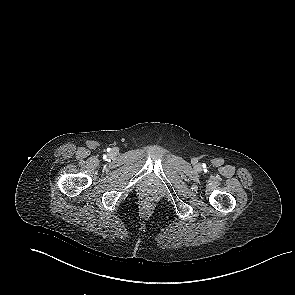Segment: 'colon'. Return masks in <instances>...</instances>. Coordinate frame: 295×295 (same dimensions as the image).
Listing matches in <instances>:
<instances>
[{"mask_svg": "<svg viewBox=\"0 0 295 295\" xmlns=\"http://www.w3.org/2000/svg\"><path fill=\"white\" fill-rule=\"evenodd\" d=\"M151 200L150 199H147V202H150Z\"/></svg>", "mask_w": 295, "mask_h": 295, "instance_id": "5ec220e1", "label": "colon"}]
</instances>
